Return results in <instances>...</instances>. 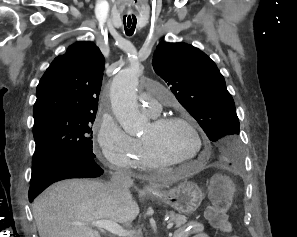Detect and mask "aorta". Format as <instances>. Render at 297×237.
<instances>
[{
  "label": "aorta",
  "instance_id": "aorta-1",
  "mask_svg": "<svg viewBox=\"0 0 297 237\" xmlns=\"http://www.w3.org/2000/svg\"><path fill=\"white\" fill-rule=\"evenodd\" d=\"M142 66L132 63L120 71L111 85V104L113 112L124 131L135 136L144 129L147 119L139 112L136 99V88Z\"/></svg>",
  "mask_w": 297,
  "mask_h": 237
}]
</instances>
